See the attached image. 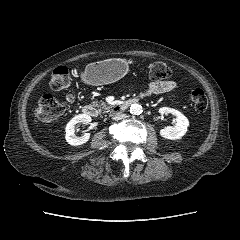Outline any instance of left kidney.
<instances>
[{"label": "left kidney", "mask_w": 240, "mask_h": 240, "mask_svg": "<svg viewBox=\"0 0 240 240\" xmlns=\"http://www.w3.org/2000/svg\"><path fill=\"white\" fill-rule=\"evenodd\" d=\"M161 115L171 113L176 117L177 123L174 127H166L160 130V135L165 139L176 140L182 138L188 129L189 121L180 111L163 107L159 109Z\"/></svg>", "instance_id": "5707ae66"}]
</instances>
